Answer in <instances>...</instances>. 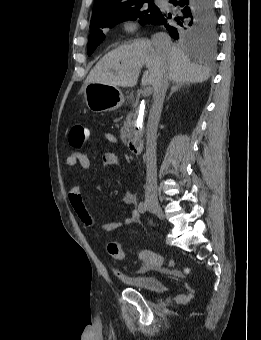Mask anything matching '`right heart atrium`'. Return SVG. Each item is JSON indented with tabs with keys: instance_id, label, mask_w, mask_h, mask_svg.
<instances>
[{
	"instance_id": "1",
	"label": "right heart atrium",
	"mask_w": 261,
	"mask_h": 340,
	"mask_svg": "<svg viewBox=\"0 0 261 340\" xmlns=\"http://www.w3.org/2000/svg\"><path fill=\"white\" fill-rule=\"evenodd\" d=\"M136 28H137V25L132 21H128L124 24L125 31H127L129 33L134 32L136 30Z\"/></svg>"
}]
</instances>
